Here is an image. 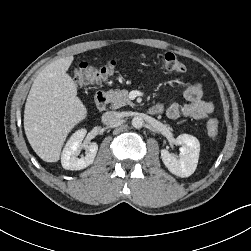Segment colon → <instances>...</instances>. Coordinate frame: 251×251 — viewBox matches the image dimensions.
<instances>
[{
  "label": "colon",
  "instance_id": "5ec220e1",
  "mask_svg": "<svg viewBox=\"0 0 251 251\" xmlns=\"http://www.w3.org/2000/svg\"><path fill=\"white\" fill-rule=\"evenodd\" d=\"M116 61L111 60L106 64L94 65L86 60L79 62L73 72V78L77 86L85 87L106 81L115 70ZM161 66L168 71L179 73L186 72V66L173 54L165 53L161 57ZM207 132L211 138H216L219 132L218 122L210 119L207 122Z\"/></svg>",
  "mask_w": 251,
  "mask_h": 251
}]
</instances>
